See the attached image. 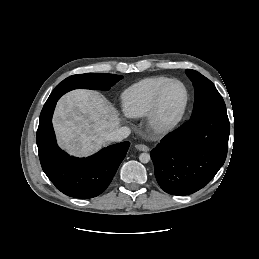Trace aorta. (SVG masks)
Returning a JSON list of instances; mask_svg holds the SVG:
<instances>
[{
  "mask_svg": "<svg viewBox=\"0 0 259 259\" xmlns=\"http://www.w3.org/2000/svg\"><path fill=\"white\" fill-rule=\"evenodd\" d=\"M150 155L148 153H141L139 155V160L142 163H148L150 161Z\"/></svg>",
  "mask_w": 259,
  "mask_h": 259,
  "instance_id": "obj_1",
  "label": "aorta"
}]
</instances>
